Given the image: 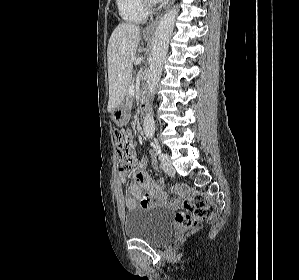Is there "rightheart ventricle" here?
Instances as JSON below:
<instances>
[{
  "mask_svg": "<svg viewBox=\"0 0 299 280\" xmlns=\"http://www.w3.org/2000/svg\"><path fill=\"white\" fill-rule=\"evenodd\" d=\"M120 17L128 23H141L148 16L142 0H116Z\"/></svg>",
  "mask_w": 299,
  "mask_h": 280,
  "instance_id": "1",
  "label": "right heart ventricle"
}]
</instances>
